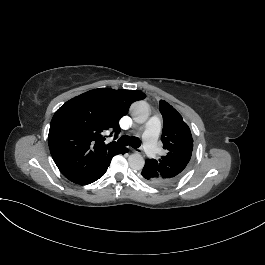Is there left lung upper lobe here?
Wrapping results in <instances>:
<instances>
[{
	"mask_svg": "<svg viewBox=\"0 0 265 265\" xmlns=\"http://www.w3.org/2000/svg\"><path fill=\"white\" fill-rule=\"evenodd\" d=\"M159 107L164 123L161 140L167 154L148 162L169 184H173L186 172L193 151V139L188 125L176 109L164 100H160Z\"/></svg>",
	"mask_w": 265,
	"mask_h": 265,
	"instance_id": "left-lung-upper-lobe-1",
	"label": "left lung upper lobe"
}]
</instances>
